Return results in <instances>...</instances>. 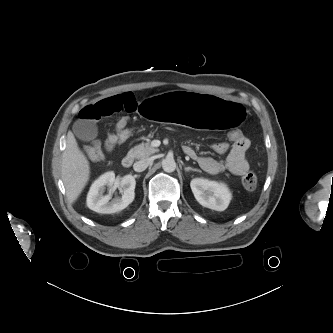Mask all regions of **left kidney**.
<instances>
[{
  "mask_svg": "<svg viewBox=\"0 0 333 333\" xmlns=\"http://www.w3.org/2000/svg\"><path fill=\"white\" fill-rule=\"evenodd\" d=\"M196 200L204 207L224 211L231 200V193L224 183L196 178L190 183Z\"/></svg>",
  "mask_w": 333,
  "mask_h": 333,
  "instance_id": "obj_1",
  "label": "left kidney"
}]
</instances>
